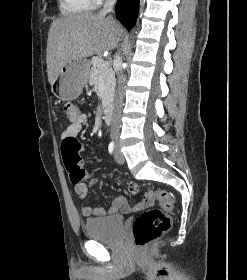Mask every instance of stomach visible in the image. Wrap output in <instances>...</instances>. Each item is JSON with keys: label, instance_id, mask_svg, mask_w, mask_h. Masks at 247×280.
Listing matches in <instances>:
<instances>
[{"label": "stomach", "instance_id": "1", "mask_svg": "<svg viewBox=\"0 0 247 280\" xmlns=\"http://www.w3.org/2000/svg\"><path fill=\"white\" fill-rule=\"evenodd\" d=\"M90 63L87 59H75L63 66L51 85L52 92L62 101L76 99L87 84Z\"/></svg>", "mask_w": 247, "mask_h": 280}]
</instances>
